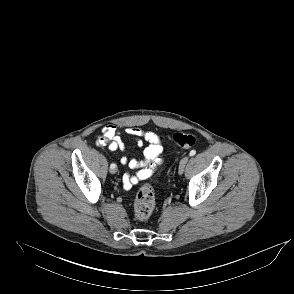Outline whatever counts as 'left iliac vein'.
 <instances>
[{
  "label": "left iliac vein",
  "mask_w": 294,
  "mask_h": 294,
  "mask_svg": "<svg viewBox=\"0 0 294 294\" xmlns=\"http://www.w3.org/2000/svg\"><path fill=\"white\" fill-rule=\"evenodd\" d=\"M189 157L185 156L184 158H182V160L179 163V169H178V173L181 175L184 172L185 169V165L188 161Z\"/></svg>",
  "instance_id": "1"
}]
</instances>
